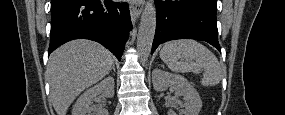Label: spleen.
I'll return each mask as SVG.
<instances>
[{
	"label": "spleen",
	"mask_w": 285,
	"mask_h": 115,
	"mask_svg": "<svg viewBox=\"0 0 285 115\" xmlns=\"http://www.w3.org/2000/svg\"><path fill=\"white\" fill-rule=\"evenodd\" d=\"M160 58L169 69L177 73L204 70L201 84L215 86L222 80L223 72L216 56L203 44L190 39L167 42L160 51ZM185 59L186 62L182 60Z\"/></svg>",
	"instance_id": "obj_1"
}]
</instances>
